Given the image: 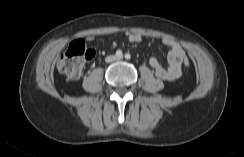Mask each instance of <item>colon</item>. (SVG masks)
Masks as SVG:
<instances>
[{
  "instance_id": "colon-1",
  "label": "colon",
  "mask_w": 244,
  "mask_h": 157,
  "mask_svg": "<svg viewBox=\"0 0 244 157\" xmlns=\"http://www.w3.org/2000/svg\"><path fill=\"white\" fill-rule=\"evenodd\" d=\"M94 55V51L86 47L82 40L73 41L67 51L58 59L57 69L67 78L76 80L80 77L85 63L91 60ZM183 64L185 67H189L190 59L184 57Z\"/></svg>"
}]
</instances>
